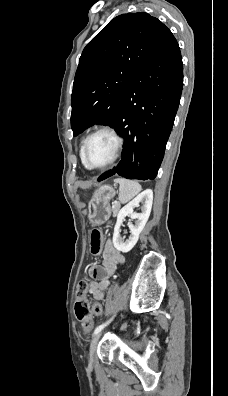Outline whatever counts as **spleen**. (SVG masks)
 Listing matches in <instances>:
<instances>
[{
  "label": "spleen",
  "instance_id": "obj_1",
  "mask_svg": "<svg viewBox=\"0 0 228 396\" xmlns=\"http://www.w3.org/2000/svg\"><path fill=\"white\" fill-rule=\"evenodd\" d=\"M114 182L119 184V200L122 204L129 202L141 190V185L133 180L116 178Z\"/></svg>",
  "mask_w": 228,
  "mask_h": 396
}]
</instances>
